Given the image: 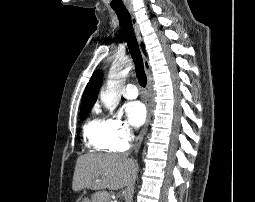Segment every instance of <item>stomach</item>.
<instances>
[{
  "label": "stomach",
  "mask_w": 255,
  "mask_h": 202,
  "mask_svg": "<svg viewBox=\"0 0 255 202\" xmlns=\"http://www.w3.org/2000/svg\"><path fill=\"white\" fill-rule=\"evenodd\" d=\"M82 202H89V200L88 199H84Z\"/></svg>",
  "instance_id": "stomach-1"
}]
</instances>
